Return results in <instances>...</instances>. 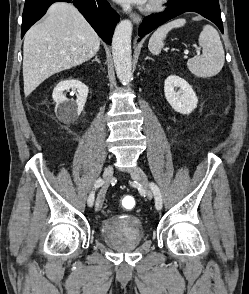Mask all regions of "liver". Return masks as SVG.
Listing matches in <instances>:
<instances>
[{
    "mask_svg": "<svg viewBox=\"0 0 249 294\" xmlns=\"http://www.w3.org/2000/svg\"><path fill=\"white\" fill-rule=\"evenodd\" d=\"M100 38L69 3H54L45 19L24 37V94L30 95L50 76L78 66L96 55Z\"/></svg>",
    "mask_w": 249,
    "mask_h": 294,
    "instance_id": "obj_1",
    "label": "liver"
}]
</instances>
